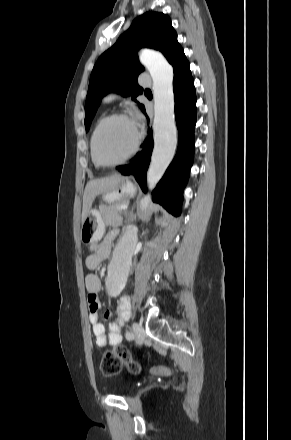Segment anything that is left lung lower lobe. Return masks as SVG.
I'll list each match as a JSON object with an SVG mask.
<instances>
[{
  "label": "left lung lower lobe",
  "instance_id": "obj_1",
  "mask_svg": "<svg viewBox=\"0 0 291 440\" xmlns=\"http://www.w3.org/2000/svg\"><path fill=\"white\" fill-rule=\"evenodd\" d=\"M173 90L175 117L178 128V149L175 158L153 191V200L175 216L181 213L182 192L186 185L194 157V129L196 124V93L190 64L183 53L174 63ZM152 131L144 141L143 150L128 165L117 166L122 175H134L146 192V172L153 150Z\"/></svg>",
  "mask_w": 291,
  "mask_h": 440
}]
</instances>
